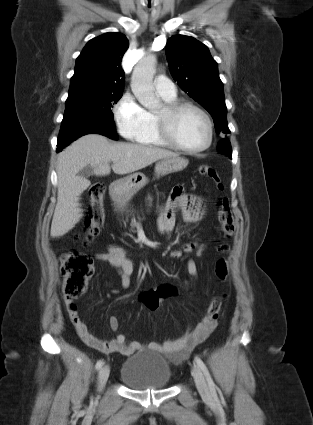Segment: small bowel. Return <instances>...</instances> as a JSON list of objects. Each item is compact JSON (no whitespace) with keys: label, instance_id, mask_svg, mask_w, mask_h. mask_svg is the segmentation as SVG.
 Returning a JSON list of instances; mask_svg holds the SVG:
<instances>
[{"label":"small bowel","instance_id":"small-bowel-1","mask_svg":"<svg viewBox=\"0 0 313 425\" xmlns=\"http://www.w3.org/2000/svg\"><path fill=\"white\" fill-rule=\"evenodd\" d=\"M176 210L181 212L183 220L188 223H196L204 216L200 198L186 193L182 185H177L172 189L165 212L158 220L157 227L160 234L164 236L170 235L175 226ZM196 246V242L186 243L180 249L171 251L170 256L174 259L180 258L183 254L192 253ZM95 258L100 262L108 263L118 272L121 284L124 288L130 286L133 264L122 247L110 245L107 252L97 253ZM187 270L191 276H198V268L193 259L188 260ZM66 302L71 322L76 328L80 338L88 346L104 354L117 352L125 356H129L142 348L139 342L128 341L121 333H118L114 339L109 341L100 339L93 334L89 330L88 325L81 320L73 300L67 299ZM109 325L113 331L117 332L119 330V320L115 316L110 317ZM215 325L216 321H212L208 315H206L194 327L189 328L180 338L168 340L164 343L152 342L148 347L166 354L171 359L179 360L187 357L197 345L207 339L215 328Z\"/></svg>","mask_w":313,"mask_h":425}]
</instances>
